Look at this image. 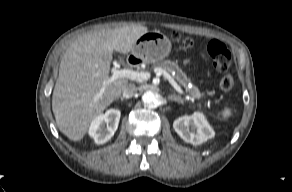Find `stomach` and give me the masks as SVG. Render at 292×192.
Masks as SVG:
<instances>
[{"label":"stomach","instance_id":"0dacf381","mask_svg":"<svg viewBox=\"0 0 292 192\" xmlns=\"http://www.w3.org/2000/svg\"><path fill=\"white\" fill-rule=\"evenodd\" d=\"M171 51L170 40L159 31H151L136 40L132 53L146 63L161 61Z\"/></svg>","mask_w":292,"mask_h":192}]
</instances>
